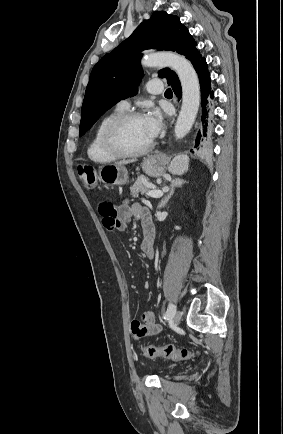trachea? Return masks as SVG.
Wrapping results in <instances>:
<instances>
[{"label": "trachea", "mask_w": 283, "mask_h": 434, "mask_svg": "<svg viewBox=\"0 0 283 434\" xmlns=\"http://www.w3.org/2000/svg\"><path fill=\"white\" fill-rule=\"evenodd\" d=\"M170 94H172V90H171L170 88H168V89L165 91V95H170Z\"/></svg>", "instance_id": "trachea-1"}]
</instances>
